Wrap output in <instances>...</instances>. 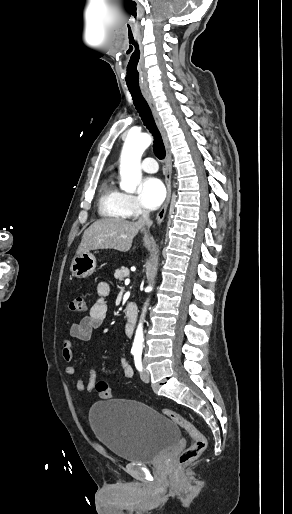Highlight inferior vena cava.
Here are the masks:
<instances>
[{
  "mask_svg": "<svg viewBox=\"0 0 292 514\" xmlns=\"http://www.w3.org/2000/svg\"><path fill=\"white\" fill-rule=\"evenodd\" d=\"M140 224H143V226H147V228H150L152 226V220L149 218V212L148 210H142L141 218H139Z\"/></svg>",
  "mask_w": 292,
  "mask_h": 514,
  "instance_id": "1",
  "label": "inferior vena cava"
}]
</instances>
